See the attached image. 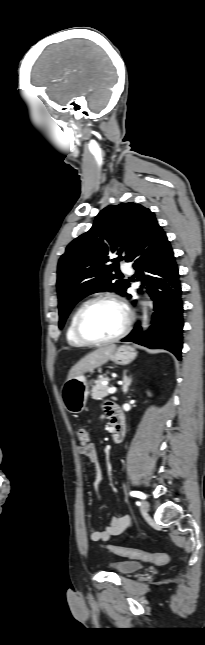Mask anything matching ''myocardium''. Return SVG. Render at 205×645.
Here are the masks:
<instances>
[{
	"label": "myocardium",
	"instance_id": "f54148a6",
	"mask_svg": "<svg viewBox=\"0 0 205 645\" xmlns=\"http://www.w3.org/2000/svg\"><path fill=\"white\" fill-rule=\"evenodd\" d=\"M105 302L114 303L121 308L124 314L123 327L117 334L109 338H105V339L90 338L89 336H87V334L84 332V329H83V320H84L85 314L94 305L105 303ZM130 327H131V315L126 305L116 296L106 294V295H100L88 300L79 308L75 318L74 330L78 339L82 341L85 345L98 346V345H104V344H108V343H112L120 340L129 332Z\"/></svg>",
	"mask_w": 205,
	"mask_h": 645
}]
</instances>
